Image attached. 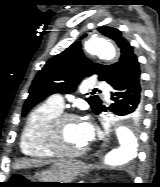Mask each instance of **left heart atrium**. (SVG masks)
<instances>
[{"label":"left heart atrium","mask_w":160,"mask_h":187,"mask_svg":"<svg viewBox=\"0 0 160 187\" xmlns=\"http://www.w3.org/2000/svg\"><path fill=\"white\" fill-rule=\"evenodd\" d=\"M81 131L86 139V141H89L93 136V129L90 123L88 122H81Z\"/></svg>","instance_id":"left-heart-atrium-1"}]
</instances>
